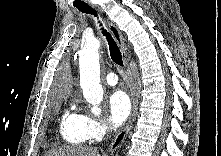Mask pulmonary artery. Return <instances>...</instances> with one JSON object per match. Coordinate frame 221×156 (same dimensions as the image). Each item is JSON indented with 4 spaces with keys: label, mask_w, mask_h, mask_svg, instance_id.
Returning <instances> with one entry per match:
<instances>
[{
    "label": "pulmonary artery",
    "mask_w": 221,
    "mask_h": 156,
    "mask_svg": "<svg viewBox=\"0 0 221 156\" xmlns=\"http://www.w3.org/2000/svg\"><path fill=\"white\" fill-rule=\"evenodd\" d=\"M106 82L111 85L114 86L117 84L118 82V77L114 72H110L106 75Z\"/></svg>",
    "instance_id": "1"
}]
</instances>
